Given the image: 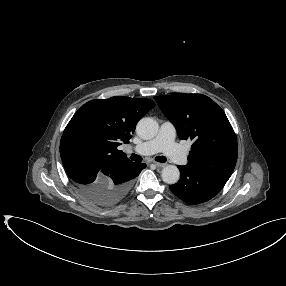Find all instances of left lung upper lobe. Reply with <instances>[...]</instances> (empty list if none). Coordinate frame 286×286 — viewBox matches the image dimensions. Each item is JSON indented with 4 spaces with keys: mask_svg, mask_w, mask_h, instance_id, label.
<instances>
[{
    "mask_svg": "<svg viewBox=\"0 0 286 286\" xmlns=\"http://www.w3.org/2000/svg\"><path fill=\"white\" fill-rule=\"evenodd\" d=\"M180 139L193 141L188 166L227 181L237 161V139L221 107L202 94L155 96Z\"/></svg>",
    "mask_w": 286,
    "mask_h": 286,
    "instance_id": "1",
    "label": "left lung upper lobe"
}]
</instances>
